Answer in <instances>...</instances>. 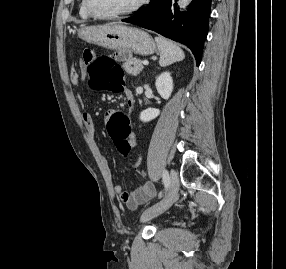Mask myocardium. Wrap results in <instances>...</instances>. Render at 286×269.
Masks as SVG:
<instances>
[{"label": "myocardium", "instance_id": "f54148a6", "mask_svg": "<svg viewBox=\"0 0 286 269\" xmlns=\"http://www.w3.org/2000/svg\"><path fill=\"white\" fill-rule=\"evenodd\" d=\"M83 1H84V6H85L87 13L91 17H94L96 19H101V20L117 19V18H121L124 16L134 14V13L140 11L142 8H144L150 2V0H138L132 7L128 8L126 10L116 12L113 14L102 15V14L96 13L92 9V7L90 5V0H83Z\"/></svg>", "mask_w": 286, "mask_h": 269}]
</instances>
